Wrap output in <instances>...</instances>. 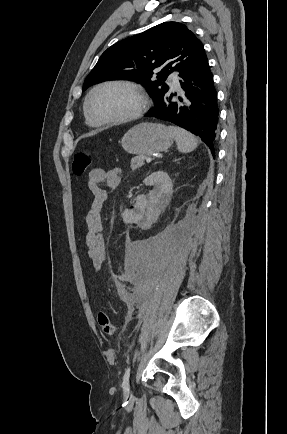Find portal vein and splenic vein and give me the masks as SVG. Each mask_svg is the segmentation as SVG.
Listing matches in <instances>:
<instances>
[{
  "instance_id": "18ae733b",
  "label": "portal vein and splenic vein",
  "mask_w": 287,
  "mask_h": 434,
  "mask_svg": "<svg viewBox=\"0 0 287 434\" xmlns=\"http://www.w3.org/2000/svg\"><path fill=\"white\" fill-rule=\"evenodd\" d=\"M152 161V158L150 156L146 157V162L150 163Z\"/></svg>"
}]
</instances>
